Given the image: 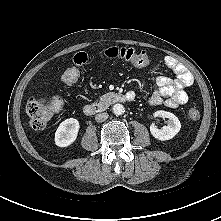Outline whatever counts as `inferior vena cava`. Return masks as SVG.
<instances>
[{"label": "inferior vena cava", "mask_w": 221, "mask_h": 221, "mask_svg": "<svg viewBox=\"0 0 221 221\" xmlns=\"http://www.w3.org/2000/svg\"><path fill=\"white\" fill-rule=\"evenodd\" d=\"M108 116V113H99L95 116V120L97 122H104L105 120H107Z\"/></svg>", "instance_id": "1"}]
</instances>
